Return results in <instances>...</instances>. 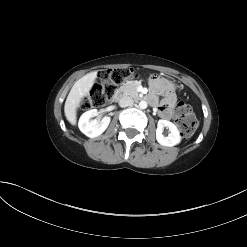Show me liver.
<instances>
[{"mask_svg": "<svg viewBox=\"0 0 247 247\" xmlns=\"http://www.w3.org/2000/svg\"><path fill=\"white\" fill-rule=\"evenodd\" d=\"M97 72H90L77 80L71 88L65 101L64 112L70 124L75 125L77 121V108L82 98L87 96L94 86Z\"/></svg>", "mask_w": 247, "mask_h": 247, "instance_id": "obj_1", "label": "liver"}]
</instances>
